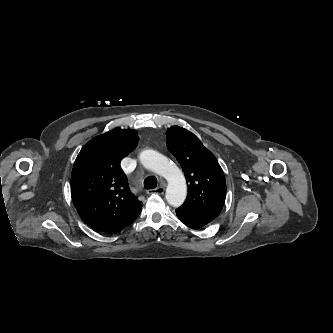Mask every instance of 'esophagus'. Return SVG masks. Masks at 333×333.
I'll return each mask as SVG.
<instances>
[{
  "label": "esophagus",
  "instance_id": "obj_1",
  "mask_svg": "<svg viewBox=\"0 0 333 333\" xmlns=\"http://www.w3.org/2000/svg\"><path fill=\"white\" fill-rule=\"evenodd\" d=\"M163 194L164 193V187L160 186L155 189L147 190V194Z\"/></svg>",
  "mask_w": 333,
  "mask_h": 333
}]
</instances>
